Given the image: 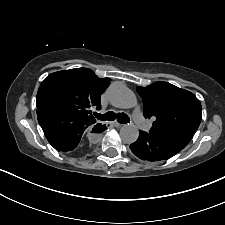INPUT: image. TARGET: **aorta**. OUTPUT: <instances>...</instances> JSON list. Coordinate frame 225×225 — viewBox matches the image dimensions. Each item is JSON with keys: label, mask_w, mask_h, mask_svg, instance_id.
I'll list each match as a JSON object with an SVG mask.
<instances>
[{"label": "aorta", "mask_w": 225, "mask_h": 225, "mask_svg": "<svg viewBox=\"0 0 225 225\" xmlns=\"http://www.w3.org/2000/svg\"><path fill=\"white\" fill-rule=\"evenodd\" d=\"M110 102L121 109H130L137 105L135 94L126 86H115L110 91ZM120 136L124 143H134L139 136V130L134 124H126L120 129Z\"/></svg>", "instance_id": "obj_1"}]
</instances>
